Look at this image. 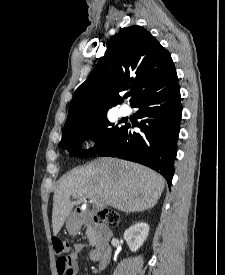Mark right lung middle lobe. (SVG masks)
<instances>
[{
  "label": "right lung middle lobe",
  "instance_id": "right-lung-middle-lobe-1",
  "mask_svg": "<svg viewBox=\"0 0 225 275\" xmlns=\"http://www.w3.org/2000/svg\"><path fill=\"white\" fill-rule=\"evenodd\" d=\"M124 128L110 123L106 112L83 119L63 128L62 139L59 143L71 152V155L86 158L98 153L107 143L113 140ZM95 135L96 145L91 150H81L80 143L87 136Z\"/></svg>",
  "mask_w": 225,
  "mask_h": 275
}]
</instances>
